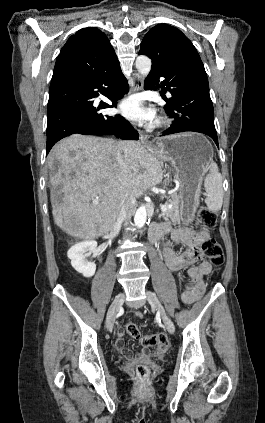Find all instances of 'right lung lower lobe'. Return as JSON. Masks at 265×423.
<instances>
[{
  "mask_svg": "<svg viewBox=\"0 0 265 423\" xmlns=\"http://www.w3.org/2000/svg\"><path fill=\"white\" fill-rule=\"evenodd\" d=\"M128 84L121 68L104 73L86 75L51 83L47 106L46 154L62 138L78 133L83 135L118 136L122 139L138 140L137 131L122 116H103L100 109L116 107L117 100L128 92ZM103 94L112 101V106H94L93 99Z\"/></svg>",
  "mask_w": 265,
  "mask_h": 423,
  "instance_id": "1",
  "label": "right lung lower lobe"
}]
</instances>
